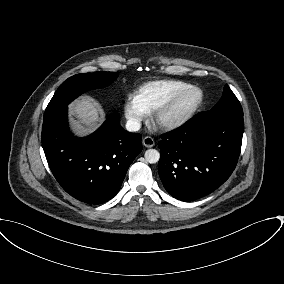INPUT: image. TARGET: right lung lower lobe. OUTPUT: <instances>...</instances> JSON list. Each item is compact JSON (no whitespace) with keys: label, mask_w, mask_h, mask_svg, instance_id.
Instances as JSON below:
<instances>
[{"label":"right lung lower lobe","mask_w":284,"mask_h":284,"mask_svg":"<svg viewBox=\"0 0 284 284\" xmlns=\"http://www.w3.org/2000/svg\"><path fill=\"white\" fill-rule=\"evenodd\" d=\"M112 114L86 138L69 131L67 107L44 118L41 140L49 167L62 188L74 198L101 204L113 198L126 172L142 150L141 134L125 131Z\"/></svg>","instance_id":"obj_1"}]
</instances>
